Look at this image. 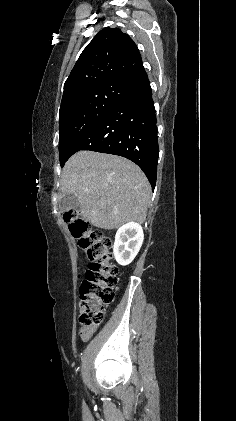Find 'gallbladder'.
<instances>
[{"label":"gallbladder","mask_w":236,"mask_h":421,"mask_svg":"<svg viewBox=\"0 0 236 421\" xmlns=\"http://www.w3.org/2000/svg\"><path fill=\"white\" fill-rule=\"evenodd\" d=\"M80 202L76 196L73 194H66V196H62L58 202V208L62 213H67V211H76Z\"/></svg>","instance_id":"bac80fb5"}]
</instances>
